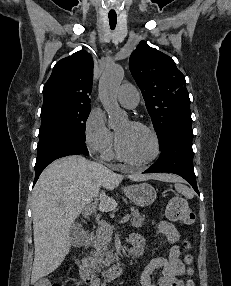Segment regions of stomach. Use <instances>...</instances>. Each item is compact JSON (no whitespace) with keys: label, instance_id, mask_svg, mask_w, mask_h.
Returning a JSON list of instances; mask_svg holds the SVG:
<instances>
[{"label":"stomach","instance_id":"stomach-1","mask_svg":"<svg viewBox=\"0 0 231 286\" xmlns=\"http://www.w3.org/2000/svg\"><path fill=\"white\" fill-rule=\"evenodd\" d=\"M124 192L131 202L140 207L151 205L157 197L156 190L148 183L129 185Z\"/></svg>","mask_w":231,"mask_h":286}]
</instances>
